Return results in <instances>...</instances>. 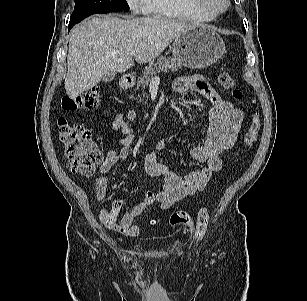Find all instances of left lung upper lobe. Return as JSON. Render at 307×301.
<instances>
[{"label": "left lung upper lobe", "mask_w": 307, "mask_h": 301, "mask_svg": "<svg viewBox=\"0 0 307 301\" xmlns=\"http://www.w3.org/2000/svg\"><path fill=\"white\" fill-rule=\"evenodd\" d=\"M242 30H243L244 33L246 32V31H245V28H242Z\"/></svg>", "instance_id": "obj_1"}]
</instances>
